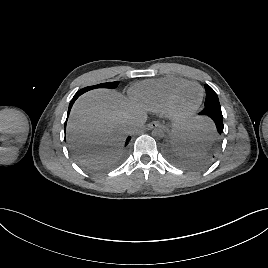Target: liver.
<instances>
[{
  "instance_id": "liver-1",
  "label": "liver",
  "mask_w": 268,
  "mask_h": 268,
  "mask_svg": "<svg viewBox=\"0 0 268 268\" xmlns=\"http://www.w3.org/2000/svg\"><path fill=\"white\" fill-rule=\"evenodd\" d=\"M145 115L121 94L107 89L89 91L73 105L67 136L73 148L101 162L111 160L125 137ZM194 120L189 126L200 123Z\"/></svg>"
}]
</instances>
